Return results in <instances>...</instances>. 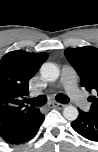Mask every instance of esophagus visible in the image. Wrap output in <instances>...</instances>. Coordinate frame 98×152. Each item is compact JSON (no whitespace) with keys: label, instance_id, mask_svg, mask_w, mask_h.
Segmentation results:
<instances>
[{"label":"esophagus","instance_id":"esophagus-1","mask_svg":"<svg viewBox=\"0 0 98 152\" xmlns=\"http://www.w3.org/2000/svg\"><path fill=\"white\" fill-rule=\"evenodd\" d=\"M48 106L49 107H51V108H58V109H61V108H63L64 107V104H61V103H58V102H50L49 104H48Z\"/></svg>","mask_w":98,"mask_h":152}]
</instances>
